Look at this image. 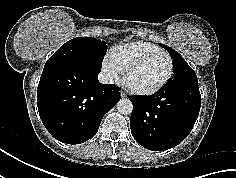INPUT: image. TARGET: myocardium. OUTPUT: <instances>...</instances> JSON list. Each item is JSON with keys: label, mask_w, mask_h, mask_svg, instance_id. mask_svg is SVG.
I'll return each mask as SVG.
<instances>
[{"label": "myocardium", "mask_w": 236, "mask_h": 178, "mask_svg": "<svg viewBox=\"0 0 236 178\" xmlns=\"http://www.w3.org/2000/svg\"><path fill=\"white\" fill-rule=\"evenodd\" d=\"M157 55H165L169 59L170 65H169V70H168L166 76L157 85H155L151 88H145V89L144 88H137V87L131 85L128 81L130 74L135 69H137L142 63H144L148 59H150L154 56H157ZM173 71H174V60H173L172 56L166 51H156V52H152L147 55L141 56V57L135 59L134 61H132L125 68V70L122 73V83L125 86V88L133 94L151 95V94L156 93L157 91H159L162 87H164L166 85V83L171 79Z\"/></svg>", "instance_id": "f54148a6"}]
</instances>
